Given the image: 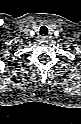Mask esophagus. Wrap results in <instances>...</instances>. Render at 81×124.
<instances>
[{"instance_id": "esophagus-1", "label": "esophagus", "mask_w": 81, "mask_h": 124, "mask_svg": "<svg viewBox=\"0 0 81 124\" xmlns=\"http://www.w3.org/2000/svg\"><path fill=\"white\" fill-rule=\"evenodd\" d=\"M50 39H51V36H48V35L41 36V40H43V41H48Z\"/></svg>"}]
</instances>
